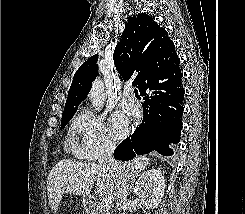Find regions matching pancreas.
Instances as JSON below:
<instances>
[{
	"mask_svg": "<svg viewBox=\"0 0 245 214\" xmlns=\"http://www.w3.org/2000/svg\"><path fill=\"white\" fill-rule=\"evenodd\" d=\"M95 214H112L111 213V208L109 207H104L101 204L97 206V209L95 211Z\"/></svg>",
	"mask_w": 245,
	"mask_h": 214,
	"instance_id": "obj_1",
	"label": "pancreas"
}]
</instances>
